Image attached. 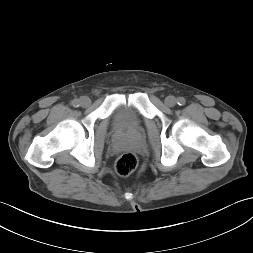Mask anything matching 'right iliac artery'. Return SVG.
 Segmentation results:
<instances>
[{
  "instance_id": "82829eb1",
  "label": "right iliac artery",
  "mask_w": 253,
  "mask_h": 253,
  "mask_svg": "<svg viewBox=\"0 0 253 253\" xmlns=\"http://www.w3.org/2000/svg\"><path fill=\"white\" fill-rule=\"evenodd\" d=\"M72 105H73L74 107H78V106L80 105V101H79L78 99H74V100L72 101Z\"/></svg>"
}]
</instances>
